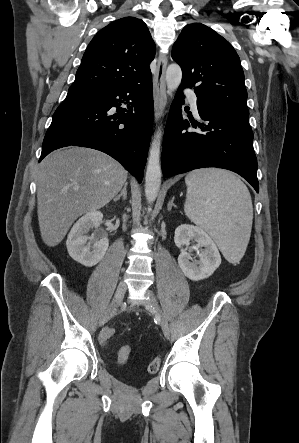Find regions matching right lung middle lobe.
<instances>
[{
	"label": "right lung middle lobe",
	"mask_w": 299,
	"mask_h": 443,
	"mask_svg": "<svg viewBox=\"0 0 299 443\" xmlns=\"http://www.w3.org/2000/svg\"><path fill=\"white\" fill-rule=\"evenodd\" d=\"M93 90H87V89H78V88H69L68 93H93Z\"/></svg>",
	"instance_id": "obj_1"
}]
</instances>
